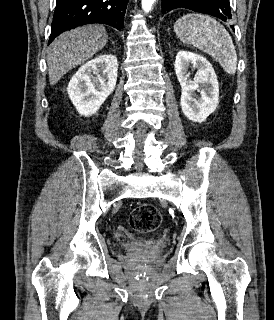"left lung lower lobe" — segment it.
Wrapping results in <instances>:
<instances>
[{
  "label": "left lung lower lobe",
  "mask_w": 274,
  "mask_h": 320,
  "mask_svg": "<svg viewBox=\"0 0 274 320\" xmlns=\"http://www.w3.org/2000/svg\"><path fill=\"white\" fill-rule=\"evenodd\" d=\"M176 8H187L227 21L231 19L229 0H162V13ZM234 30L233 25L231 26Z\"/></svg>",
  "instance_id": "obj_1"
}]
</instances>
